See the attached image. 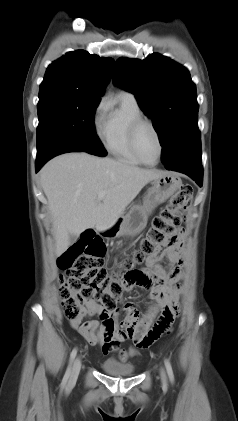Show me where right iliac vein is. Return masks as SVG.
Here are the masks:
<instances>
[{
    "label": "right iliac vein",
    "mask_w": 238,
    "mask_h": 421,
    "mask_svg": "<svg viewBox=\"0 0 238 421\" xmlns=\"http://www.w3.org/2000/svg\"><path fill=\"white\" fill-rule=\"evenodd\" d=\"M80 369H81V358L77 357L73 363V367H72V371L70 375V382H74L77 379Z\"/></svg>",
    "instance_id": "1"
}]
</instances>
